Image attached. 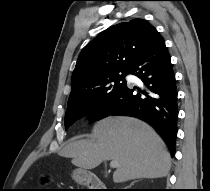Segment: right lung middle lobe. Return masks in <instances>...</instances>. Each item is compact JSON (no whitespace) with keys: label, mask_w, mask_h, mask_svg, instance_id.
Listing matches in <instances>:
<instances>
[{"label":"right lung middle lobe","mask_w":210,"mask_h":191,"mask_svg":"<svg viewBox=\"0 0 210 191\" xmlns=\"http://www.w3.org/2000/svg\"><path fill=\"white\" fill-rule=\"evenodd\" d=\"M127 74L128 69L107 73L97 79L89 90L70 98L65 114V129L86 113L97 120L109 101L126 86Z\"/></svg>","instance_id":"dd1d6c3e"}]
</instances>
